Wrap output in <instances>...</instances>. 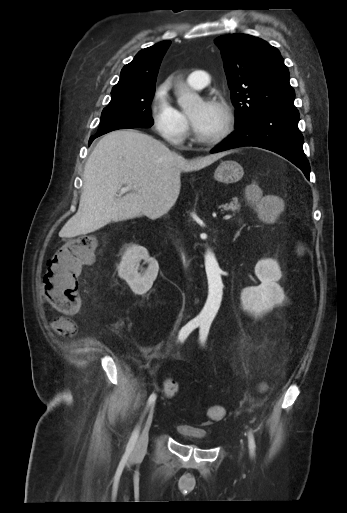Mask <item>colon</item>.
Segmentation results:
<instances>
[{
    "label": "colon",
    "mask_w": 347,
    "mask_h": 513,
    "mask_svg": "<svg viewBox=\"0 0 347 513\" xmlns=\"http://www.w3.org/2000/svg\"><path fill=\"white\" fill-rule=\"evenodd\" d=\"M245 197L250 204L264 210L266 214L259 212V218L266 223H274L282 212V205L275 197L264 200L256 187L247 189ZM96 245L95 237L79 236L61 245L50 258L43 283L48 302L56 311L75 313L81 308L78 277L82 267L93 260ZM179 391L177 382L166 381L164 393L168 398L177 396ZM208 414L213 420H221L224 410L220 406H213Z\"/></svg>",
    "instance_id": "obj_1"
}]
</instances>
